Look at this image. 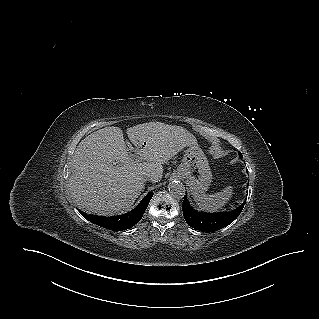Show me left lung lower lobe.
<instances>
[{
	"label": "left lung lower lobe",
	"mask_w": 319,
	"mask_h": 319,
	"mask_svg": "<svg viewBox=\"0 0 319 319\" xmlns=\"http://www.w3.org/2000/svg\"><path fill=\"white\" fill-rule=\"evenodd\" d=\"M243 202L238 208L229 212L221 213H199L188 203L187 196L183 200V216L187 224L199 231H217L231 224L244 208Z\"/></svg>",
	"instance_id": "left-lung-lower-lobe-1"
}]
</instances>
